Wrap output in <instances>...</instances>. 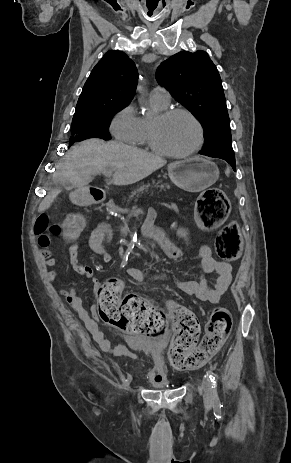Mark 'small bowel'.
Instances as JSON below:
<instances>
[{"mask_svg":"<svg viewBox=\"0 0 291 463\" xmlns=\"http://www.w3.org/2000/svg\"><path fill=\"white\" fill-rule=\"evenodd\" d=\"M154 215L149 214L141 232L146 235L147 239H143L142 243L149 246H159L164 253L170 258H180L187 254L191 249L186 229L175 226L174 230L181 244L173 245L170 243L168 233L161 231L158 226L149 227V222L153 223ZM111 239V228L108 223L100 222L92 231L88 244L89 247L97 254L102 256L104 262L109 263L113 260L112 254L107 250L105 244ZM71 242L73 240H70ZM38 243L41 248V256L44 259V266L48 269L46 273L47 281L57 279L61 271L56 268L58 260L53 256L50 248L49 236L38 237ZM80 245L73 242L69 246V258L72 269L82 278L93 281L94 288L99 285L98 278L94 274V270L84 264L79 259ZM128 275L136 281H169V277L162 275H146L142 270L131 268L127 270ZM207 273H216L217 278L211 283L205 277ZM232 281L231 265L218 261L213 258L209 246L203 245L199 249V273L196 279L179 282L178 288L187 295L193 296L200 301L216 304L220 301L222 294L228 289ZM59 293L66 299L74 312L83 321L87 330L91 333L94 340L99 344L100 348L113 356H124L126 351L123 347L113 346L106 340L103 333L99 330L96 320L90 316L88 310L84 306L83 299L77 292L75 286L62 288Z\"/></svg>","mask_w":291,"mask_h":463,"instance_id":"1","label":"small bowel"}]
</instances>
